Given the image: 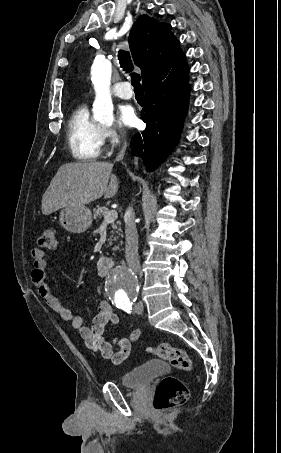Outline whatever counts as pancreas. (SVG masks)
Listing matches in <instances>:
<instances>
[{"label":"pancreas","instance_id":"1","mask_svg":"<svg viewBox=\"0 0 281 453\" xmlns=\"http://www.w3.org/2000/svg\"><path fill=\"white\" fill-rule=\"evenodd\" d=\"M109 208L107 206H99L97 204V208H93L94 216H98V218H101V216H104L106 212H108ZM111 237H109L108 241V247H111L112 241H113V235L117 233L118 237H115V239H119V237H122V229H121V222L120 220H116V222H111Z\"/></svg>","mask_w":281,"mask_h":453}]
</instances>
